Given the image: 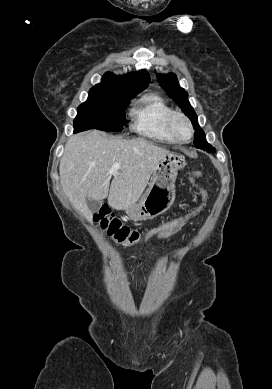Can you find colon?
Returning a JSON list of instances; mask_svg holds the SVG:
<instances>
[{"instance_id":"colon-1","label":"colon","mask_w":272,"mask_h":389,"mask_svg":"<svg viewBox=\"0 0 272 389\" xmlns=\"http://www.w3.org/2000/svg\"><path fill=\"white\" fill-rule=\"evenodd\" d=\"M201 177V172L195 171L190 176V181L195 183ZM203 200L207 194L204 190L199 191ZM199 207L186 215L174 218L148 231L140 232L124 225L107 207L101 208L95 215L94 220L114 240L124 246H135L140 243H147L154 239L169 237L182 230L202 210Z\"/></svg>"}]
</instances>
